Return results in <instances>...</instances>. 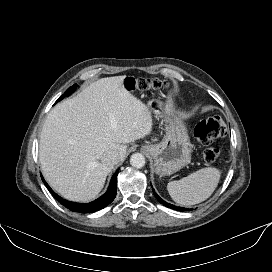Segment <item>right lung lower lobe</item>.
<instances>
[{
	"label": "right lung lower lobe",
	"instance_id": "98d812e1",
	"mask_svg": "<svg viewBox=\"0 0 272 272\" xmlns=\"http://www.w3.org/2000/svg\"><path fill=\"white\" fill-rule=\"evenodd\" d=\"M119 169L115 172V174L112 176L111 182L109 184L107 192L102 195L100 198L96 199L95 201H92L90 203H76L67 201L65 199H62L60 196H58L53 190L50 188V186L45 182V180L42 178L44 184L48 188V190L52 193V195L57 199L58 202H60L63 206L68 208L71 211L79 212V213H92L95 211H98L100 209H103L107 205H109L115 198L116 192H117V174Z\"/></svg>",
	"mask_w": 272,
	"mask_h": 272
}]
</instances>
